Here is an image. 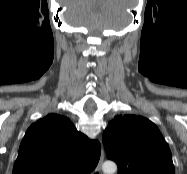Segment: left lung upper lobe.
Here are the masks:
<instances>
[{
    "instance_id": "obj_1",
    "label": "left lung upper lobe",
    "mask_w": 187,
    "mask_h": 174,
    "mask_svg": "<svg viewBox=\"0 0 187 174\" xmlns=\"http://www.w3.org/2000/svg\"><path fill=\"white\" fill-rule=\"evenodd\" d=\"M102 141L107 158L118 165V174H175L169 146L147 118L116 116Z\"/></svg>"
}]
</instances>
